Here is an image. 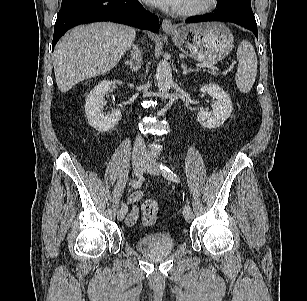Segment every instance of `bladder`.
I'll return each instance as SVG.
<instances>
[{"mask_svg":"<svg viewBox=\"0 0 307 301\" xmlns=\"http://www.w3.org/2000/svg\"><path fill=\"white\" fill-rule=\"evenodd\" d=\"M136 247L145 256L158 259L171 254L175 242L169 233L157 232L138 238Z\"/></svg>","mask_w":307,"mask_h":301,"instance_id":"obj_1","label":"bladder"}]
</instances>
